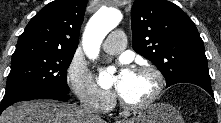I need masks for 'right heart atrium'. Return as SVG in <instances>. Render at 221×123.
<instances>
[{
	"instance_id": "obj_1",
	"label": "right heart atrium",
	"mask_w": 221,
	"mask_h": 123,
	"mask_svg": "<svg viewBox=\"0 0 221 123\" xmlns=\"http://www.w3.org/2000/svg\"><path fill=\"white\" fill-rule=\"evenodd\" d=\"M67 83L79 100L100 112H108L114 104L113 94L100 88L81 62L73 60L67 70Z\"/></svg>"
}]
</instances>
